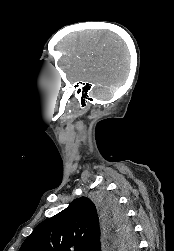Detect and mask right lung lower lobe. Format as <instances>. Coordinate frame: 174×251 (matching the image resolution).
<instances>
[{
	"label": "right lung lower lobe",
	"instance_id": "1",
	"mask_svg": "<svg viewBox=\"0 0 174 251\" xmlns=\"http://www.w3.org/2000/svg\"><path fill=\"white\" fill-rule=\"evenodd\" d=\"M103 228H104V231H105L104 232V238H103V241H102L103 249H104L107 241L109 240V236L111 235V229L105 224V222H104Z\"/></svg>",
	"mask_w": 174,
	"mask_h": 251
}]
</instances>
